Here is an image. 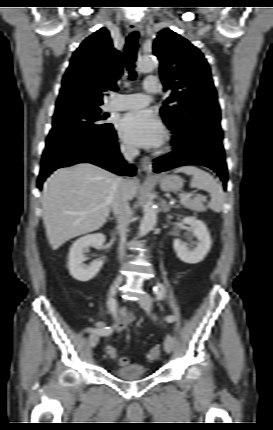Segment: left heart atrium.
I'll use <instances>...</instances> for the list:
<instances>
[{
	"label": "left heart atrium",
	"instance_id": "left-heart-atrium-1",
	"mask_svg": "<svg viewBox=\"0 0 273 430\" xmlns=\"http://www.w3.org/2000/svg\"><path fill=\"white\" fill-rule=\"evenodd\" d=\"M123 139L131 145L158 147L164 140V127L150 110H137L125 114L118 124Z\"/></svg>",
	"mask_w": 273,
	"mask_h": 430
}]
</instances>
